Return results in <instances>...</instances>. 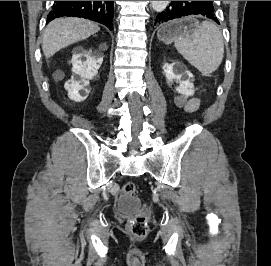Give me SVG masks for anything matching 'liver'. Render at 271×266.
I'll return each instance as SVG.
<instances>
[{
	"label": "liver",
	"mask_w": 271,
	"mask_h": 266,
	"mask_svg": "<svg viewBox=\"0 0 271 266\" xmlns=\"http://www.w3.org/2000/svg\"><path fill=\"white\" fill-rule=\"evenodd\" d=\"M100 30L95 23L81 18H57L50 22L44 32L42 50L46 58L62 48L84 40Z\"/></svg>",
	"instance_id": "obj_1"
}]
</instances>
